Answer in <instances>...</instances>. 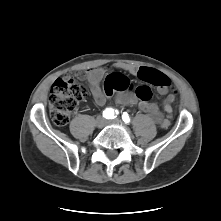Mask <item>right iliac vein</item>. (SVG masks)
Segmentation results:
<instances>
[{
    "mask_svg": "<svg viewBox=\"0 0 221 221\" xmlns=\"http://www.w3.org/2000/svg\"><path fill=\"white\" fill-rule=\"evenodd\" d=\"M95 124L98 128H102L105 125V119L102 116L96 118Z\"/></svg>",
    "mask_w": 221,
    "mask_h": 221,
    "instance_id": "1",
    "label": "right iliac vein"
}]
</instances>
